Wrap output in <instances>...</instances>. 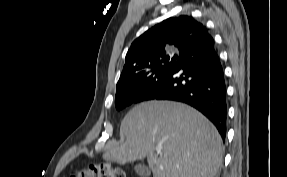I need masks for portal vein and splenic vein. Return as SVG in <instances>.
Returning a JSON list of instances; mask_svg holds the SVG:
<instances>
[{"mask_svg":"<svg viewBox=\"0 0 287 177\" xmlns=\"http://www.w3.org/2000/svg\"><path fill=\"white\" fill-rule=\"evenodd\" d=\"M156 152H157V154H160L161 153V149L160 148H156Z\"/></svg>","mask_w":287,"mask_h":177,"instance_id":"portal-vein-and-splenic-vein-1","label":"portal vein and splenic vein"}]
</instances>
